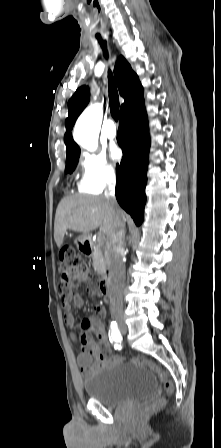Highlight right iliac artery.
<instances>
[{"label": "right iliac artery", "mask_w": 221, "mask_h": 448, "mask_svg": "<svg viewBox=\"0 0 221 448\" xmlns=\"http://www.w3.org/2000/svg\"><path fill=\"white\" fill-rule=\"evenodd\" d=\"M111 331L109 332L110 336L109 339L110 341H115V342H121L122 340V336L121 333L117 327V323L116 322H111Z\"/></svg>", "instance_id": "right-iliac-artery-1"}]
</instances>
